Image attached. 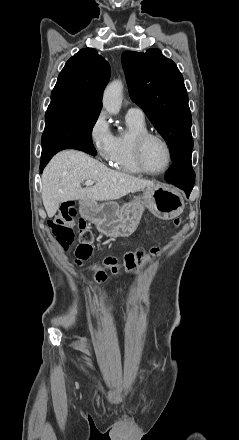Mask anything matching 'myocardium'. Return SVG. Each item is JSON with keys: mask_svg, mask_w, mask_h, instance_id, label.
I'll return each instance as SVG.
<instances>
[{"mask_svg": "<svg viewBox=\"0 0 239 440\" xmlns=\"http://www.w3.org/2000/svg\"><path fill=\"white\" fill-rule=\"evenodd\" d=\"M153 138L160 140L165 145V147L167 149V153H168L167 166L165 167V169H163L162 171H159V172H152L151 170H149L146 163H145V160H144L145 145L148 142V140L153 139ZM133 153H134L135 161H136L139 169L143 173H145L149 176L158 177V176L164 175L165 173H167L170 170V168L172 166V162H173L172 146H171L170 142L168 141V139L158 132H153V131L147 130V131H144V132L137 134L136 137L134 138V141H133Z\"/></svg>", "mask_w": 239, "mask_h": 440, "instance_id": "obj_1", "label": "myocardium"}]
</instances>
